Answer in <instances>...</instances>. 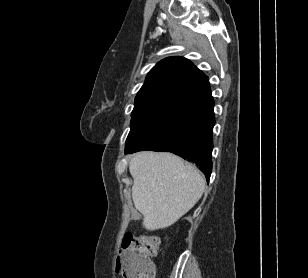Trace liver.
Listing matches in <instances>:
<instances>
[{
	"label": "liver",
	"instance_id": "6515ba94",
	"mask_svg": "<svg viewBox=\"0 0 308 278\" xmlns=\"http://www.w3.org/2000/svg\"><path fill=\"white\" fill-rule=\"evenodd\" d=\"M132 199L153 231L174 224L201 198L205 179L192 164L168 152H139L129 162Z\"/></svg>",
	"mask_w": 308,
	"mask_h": 278
}]
</instances>
